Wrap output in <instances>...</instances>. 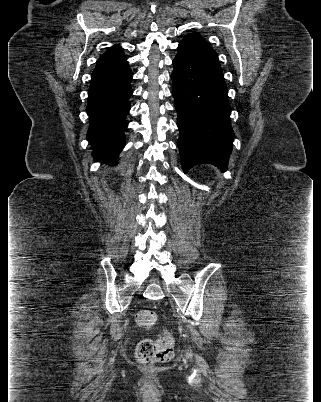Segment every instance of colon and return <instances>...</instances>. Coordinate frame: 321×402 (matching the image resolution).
Segmentation results:
<instances>
[{
  "label": "colon",
  "mask_w": 321,
  "mask_h": 402,
  "mask_svg": "<svg viewBox=\"0 0 321 402\" xmlns=\"http://www.w3.org/2000/svg\"><path fill=\"white\" fill-rule=\"evenodd\" d=\"M157 315L151 310H141L136 314V324L144 329H151L157 323ZM174 339L169 333H164L156 340L143 339L135 350L137 360L145 366L167 362L173 356Z\"/></svg>",
  "instance_id": "1"
}]
</instances>
